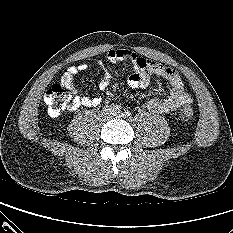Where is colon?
I'll list each match as a JSON object with an SVG mask.
<instances>
[{
  "instance_id": "1",
  "label": "colon",
  "mask_w": 233,
  "mask_h": 233,
  "mask_svg": "<svg viewBox=\"0 0 233 233\" xmlns=\"http://www.w3.org/2000/svg\"><path fill=\"white\" fill-rule=\"evenodd\" d=\"M72 101V93L62 84H53L44 95V102L51 116L60 115ZM194 116L195 112L190 104L184 105L179 113L183 123H190Z\"/></svg>"
}]
</instances>
